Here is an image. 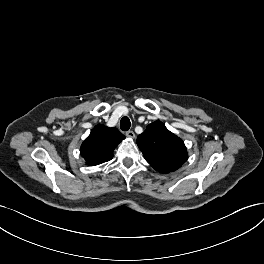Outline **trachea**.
Segmentation results:
<instances>
[{
    "label": "trachea",
    "mask_w": 264,
    "mask_h": 264,
    "mask_svg": "<svg viewBox=\"0 0 264 264\" xmlns=\"http://www.w3.org/2000/svg\"><path fill=\"white\" fill-rule=\"evenodd\" d=\"M131 122L128 117H123L120 121V128L122 131H128L130 129Z\"/></svg>",
    "instance_id": "trachea-1"
}]
</instances>
